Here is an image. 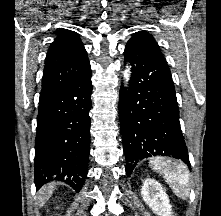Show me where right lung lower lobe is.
<instances>
[{
    "label": "right lung lower lobe",
    "mask_w": 221,
    "mask_h": 216,
    "mask_svg": "<svg viewBox=\"0 0 221 216\" xmlns=\"http://www.w3.org/2000/svg\"><path fill=\"white\" fill-rule=\"evenodd\" d=\"M91 70L40 97L35 141L36 188L62 180L77 192L90 152Z\"/></svg>",
    "instance_id": "right-lung-lower-lobe-1"
}]
</instances>
